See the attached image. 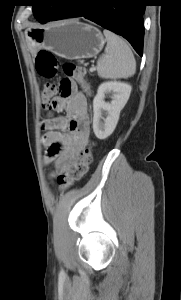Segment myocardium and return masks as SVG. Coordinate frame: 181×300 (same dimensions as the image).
Returning <instances> with one entry per match:
<instances>
[{"label": "myocardium", "mask_w": 181, "mask_h": 300, "mask_svg": "<svg viewBox=\"0 0 181 300\" xmlns=\"http://www.w3.org/2000/svg\"><path fill=\"white\" fill-rule=\"evenodd\" d=\"M50 9H56L58 8L57 6H52V7H49Z\"/></svg>", "instance_id": "myocardium-1"}]
</instances>
